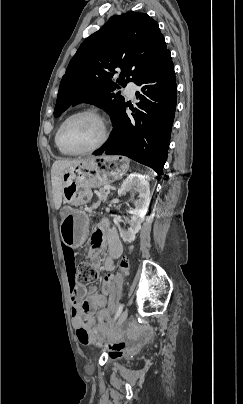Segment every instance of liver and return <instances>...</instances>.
<instances>
[{
	"instance_id": "obj_1",
	"label": "liver",
	"mask_w": 243,
	"mask_h": 404,
	"mask_svg": "<svg viewBox=\"0 0 243 404\" xmlns=\"http://www.w3.org/2000/svg\"><path fill=\"white\" fill-rule=\"evenodd\" d=\"M82 162H86V160H82V158H78V160H56L51 168V182H52V194H53V202L56 210L61 208L62 198H63V182L62 176L64 170L66 168H73V166H79Z\"/></svg>"
}]
</instances>
